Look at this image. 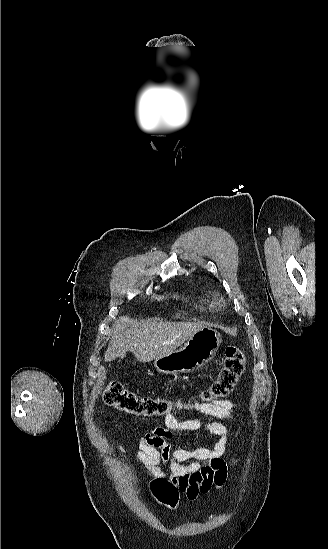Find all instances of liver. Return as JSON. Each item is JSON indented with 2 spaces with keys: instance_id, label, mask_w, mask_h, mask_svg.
Listing matches in <instances>:
<instances>
[{
  "instance_id": "liver-1",
  "label": "liver",
  "mask_w": 328,
  "mask_h": 549,
  "mask_svg": "<svg viewBox=\"0 0 328 549\" xmlns=\"http://www.w3.org/2000/svg\"><path fill=\"white\" fill-rule=\"evenodd\" d=\"M204 327L203 323H163L160 319H130L115 321L112 341L105 353V361L124 359L127 351L134 353L140 363H150L158 357L174 353L180 345Z\"/></svg>"
}]
</instances>
